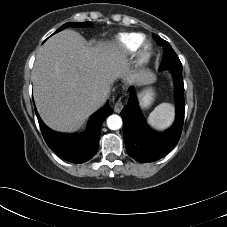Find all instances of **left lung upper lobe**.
Wrapping results in <instances>:
<instances>
[{"label":"left lung upper lobe","instance_id":"5c2ea615","mask_svg":"<svg viewBox=\"0 0 227 227\" xmlns=\"http://www.w3.org/2000/svg\"><path fill=\"white\" fill-rule=\"evenodd\" d=\"M153 36H154L157 44L162 46L163 50H164V55H163L160 69L161 70L169 69V70H173V71L182 72L181 61L179 60L177 54L172 49L171 45L167 41H165L164 39L159 37L158 35L153 34Z\"/></svg>","mask_w":227,"mask_h":227}]
</instances>
